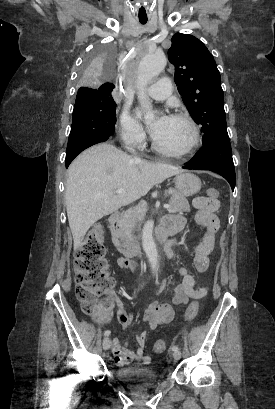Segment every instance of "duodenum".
<instances>
[{"label":"duodenum","instance_id":"410a0bca","mask_svg":"<svg viewBox=\"0 0 275 409\" xmlns=\"http://www.w3.org/2000/svg\"><path fill=\"white\" fill-rule=\"evenodd\" d=\"M110 230L112 240L119 252L126 258L136 257L139 253L138 246L132 241L121 224V214L113 213L109 217ZM178 231V227L174 224L163 222L156 230V238L159 243H164L169 235Z\"/></svg>","mask_w":275,"mask_h":409}]
</instances>
